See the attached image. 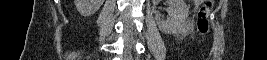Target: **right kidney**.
<instances>
[{"label":"right kidney","instance_id":"obj_1","mask_svg":"<svg viewBox=\"0 0 267 60\" xmlns=\"http://www.w3.org/2000/svg\"><path fill=\"white\" fill-rule=\"evenodd\" d=\"M104 0H74L77 11L82 16H91L99 10Z\"/></svg>","mask_w":267,"mask_h":60}]
</instances>
